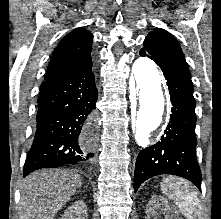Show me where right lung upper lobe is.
Returning <instances> with one entry per match:
<instances>
[{
	"instance_id": "cb5924a9",
	"label": "right lung upper lobe",
	"mask_w": 221,
	"mask_h": 219,
	"mask_svg": "<svg viewBox=\"0 0 221 219\" xmlns=\"http://www.w3.org/2000/svg\"><path fill=\"white\" fill-rule=\"evenodd\" d=\"M93 35L84 28L67 34L54 49L45 80L71 73L91 61Z\"/></svg>"
}]
</instances>
